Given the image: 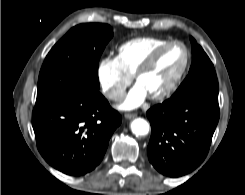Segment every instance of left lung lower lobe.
<instances>
[{
	"instance_id": "1",
	"label": "left lung lower lobe",
	"mask_w": 245,
	"mask_h": 195,
	"mask_svg": "<svg viewBox=\"0 0 245 195\" xmlns=\"http://www.w3.org/2000/svg\"><path fill=\"white\" fill-rule=\"evenodd\" d=\"M151 164L163 175L190 173L205 159L219 120V105L207 100L168 99L147 111Z\"/></svg>"
}]
</instances>
